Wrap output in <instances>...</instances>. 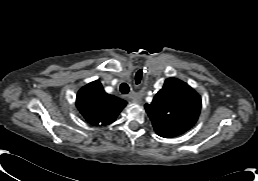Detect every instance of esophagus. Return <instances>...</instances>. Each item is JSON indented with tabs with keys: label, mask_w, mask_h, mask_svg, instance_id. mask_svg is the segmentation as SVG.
<instances>
[{
	"label": "esophagus",
	"mask_w": 258,
	"mask_h": 181,
	"mask_svg": "<svg viewBox=\"0 0 258 181\" xmlns=\"http://www.w3.org/2000/svg\"><path fill=\"white\" fill-rule=\"evenodd\" d=\"M129 99H131L133 102H140L141 97L137 93H131L129 96Z\"/></svg>",
	"instance_id": "34e87169"
}]
</instances>
